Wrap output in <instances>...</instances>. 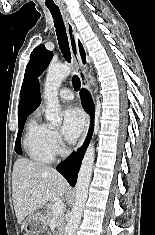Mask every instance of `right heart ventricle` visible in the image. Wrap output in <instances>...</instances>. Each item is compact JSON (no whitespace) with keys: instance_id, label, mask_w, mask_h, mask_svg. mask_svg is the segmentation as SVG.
I'll return each instance as SVG.
<instances>
[{"instance_id":"obj_1","label":"right heart ventricle","mask_w":155,"mask_h":235,"mask_svg":"<svg viewBox=\"0 0 155 235\" xmlns=\"http://www.w3.org/2000/svg\"><path fill=\"white\" fill-rule=\"evenodd\" d=\"M24 147L29 158L35 162L49 163L54 152L47 141V127L36 119H31L24 138Z\"/></svg>"}]
</instances>
